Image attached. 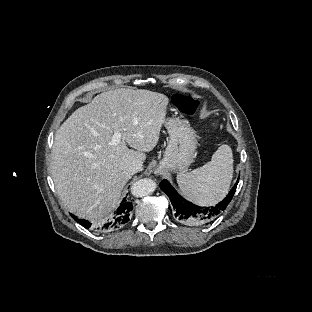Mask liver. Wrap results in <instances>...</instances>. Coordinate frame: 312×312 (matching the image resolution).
<instances>
[{"instance_id": "obj_1", "label": "liver", "mask_w": 312, "mask_h": 312, "mask_svg": "<svg viewBox=\"0 0 312 312\" xmlns=\"http://www.w3.org/2000/svg\"><path fill=\"white\" fill-rule=\"evenodd\" d=\"M169 98L118 89L78 108L58 129L49 172L63 203L79 218L106 219L132 178V162L146 160L166 122ZM120 135L118 144L113 136ZM134 150H131L130 148Z\"/></svg>"}]
</instances>
